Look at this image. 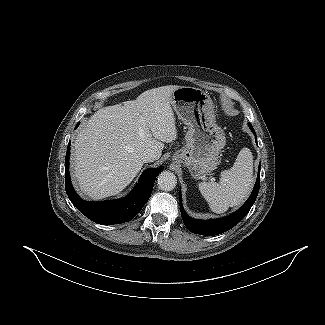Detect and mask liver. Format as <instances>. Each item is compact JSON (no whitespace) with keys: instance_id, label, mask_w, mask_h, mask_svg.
<instances>
[{"instance_id":"liver-1","label":"liver","mask_w":325,"mask_h":325,"mask_svg":"<svg viewBox=\"0 0 325 325\" xmlns=\"http://www.w3.org/2000/svg\"><path fill=\"white\" fill-rule=\"evenodd\" d=\"M179 87L147 90L136 100L101 108L90 117L72 154L73 177L84 195L100 200L121 192L141 170L146 149L160 158L163 142L177 138L171 100Z\"/></svg>"}]
</instances>
